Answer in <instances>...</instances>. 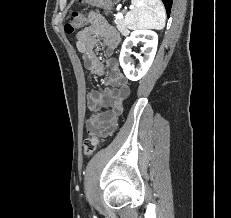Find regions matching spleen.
I'll return each instance as SVG.
<instances>
[{
    "instance_id": "obj_1",
    "label": "spleen",
    "mask_w": 231,
    "mask_h": 218,
    "mask_svg": "<svg viewBox=\"0 0 231 218\" xmlns=\"http://www.w3.org/2000/svg\"><path fill=\"white\" fill-rule=\"evenodd\" d=\"M133 8L124 19L129 29L165 27L166 12L161 0H131Z\"/></svg>"
}]
</instances>
